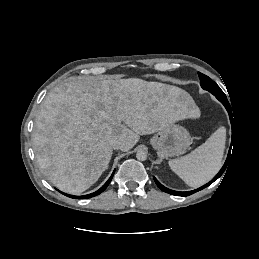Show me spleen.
<instances>
[{
  "label": "spleen",
  "instance_id": "3e777b00",
  "mask_svg": "<svg viewBox=\"0 0 259 259\" xmlns=\"http://www.w3.org/2000/svg\"><path fill=\"white\" fill-rule=\"evenodd\" d=\"M225 143L226 129L219 127L191 153L169 160V166L190 187L201 186L220 170Z\"/></svg>",
  "mask_w": 259,
  "mask_h": 259
}]
</instances>
